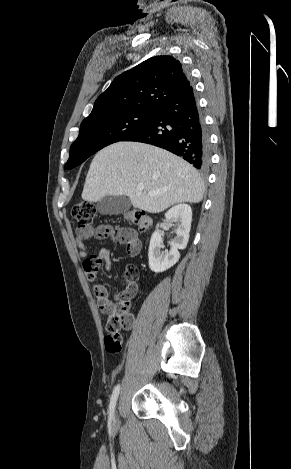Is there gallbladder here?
I'll use <instances>...</instances> for the list:
<instances>
[{
	"label": "gallbladder",
	"instance_id": "1",
	"mask_svg": "<svg viewBox=\"0 0 291 469\" xmlns=\"http://www.w3.org/2000/svg\"><path fill=\"white\" fill-rule=\"evenodd\" d=\"M131 202L126 196H106L97 202L96 208L102 215H118L128 211Z\"/></svg>",
	"mask_w": 291,
	"mask_h": 469
}]
</instances>
